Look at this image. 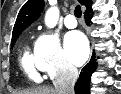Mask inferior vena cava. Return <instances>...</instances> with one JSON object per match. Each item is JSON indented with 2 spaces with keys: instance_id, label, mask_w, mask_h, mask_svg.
<instances>
[{
  "instance_id": "obj_1",
  "label": "inferior vena cava",
  "mask_w": 121,
  "mask_h": 94,
  "mask_svg": "<svg viewBox=\"0 0 121 94\" xmlns=\"http://www.w3.org/2000/svg\"><path fill=\"white\" fill-rule=\"evenodd\" d=\"M78 70L71 64L64 66L61 75L55 81V89L58 94H74V85L78 78Z\"/></svg>"
}]
</instances>
